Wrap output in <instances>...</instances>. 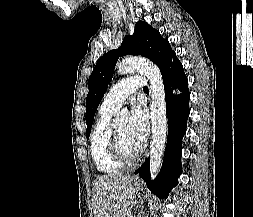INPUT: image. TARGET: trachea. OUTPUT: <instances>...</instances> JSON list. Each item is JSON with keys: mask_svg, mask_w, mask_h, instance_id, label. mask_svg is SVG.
I'll return each mask as SVG.
<instances>
[{"mask_svg": "<svg viewBox=\"0 0 253 217\" xmlns=\"http://www.w3.org/2000/svg\"><path fill=\"white\" fill-rule=\"evenodd\" d=\"M143 90H144V91H148V87L145 86V87L143 88Z\"/></svg>", "mask_w": 253, "mask_h": 217, "instance_id": "1", "label": "trachea"}]
</instances>
